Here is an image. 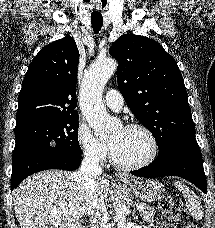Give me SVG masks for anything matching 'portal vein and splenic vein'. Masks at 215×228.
<instances>
[{"label": "portal vein and splenic vein", "mask_w": 215, "mask_h": 228, "mask_svg": "<svg viewBox=\"0 0 215 228\" xmlns=\"http://www.w3.org/2000/svg\"><path fill=\"white\" fill-rule=\"evenodd\" d=\"M138 210H139V212H144V210H146V208H144V206H138ZM68 214H76V212H68Z\"/></svg>", "instance_id": "1"}]
</instances>
